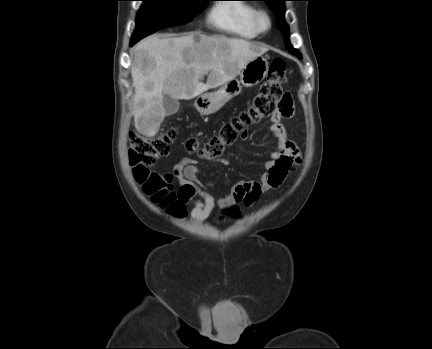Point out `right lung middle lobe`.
<instances>
[{"instance_id":"right-lung-middle-lobe-1","label":"right lung middle lobe","mask_w":432,"mask_h":349,"mask_svg":"<svg viewBox=\"0 0 432 349\" xmlns=\"http://www.w3.org/2000/svg\"><path fill=\"white\" fill-rule=\"evenodd\" d=\"M131 45L144 36L168 26L191 21L209 0H141Z\"/></svg>"}]
</instances>
